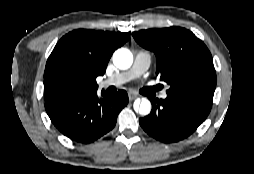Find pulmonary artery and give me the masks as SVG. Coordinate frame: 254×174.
<instances>
[{"mask_svg": "<svg viewBox=\"0 0 254 174\" xmlns=\"http://www.w3.org/2000/svg\"><path fill=\"white\" fill-rule=\"evenodd\" d=\"M151 54L147 51L140 50L134 59V63L129 70L120 72L112 77L105 79L101 82L102 87L107 86H120L126 82L131 81L142 75L150 66ZM162 99H166L167 93L163 91L160 95Z\"/></svg>", "mask_w": 254, "mask_h": 174, "instance_id": "pulmonary-artery-1", "label": "pulmonary artery"}]
</instances>
